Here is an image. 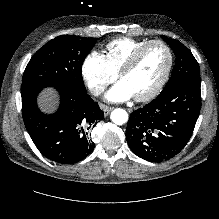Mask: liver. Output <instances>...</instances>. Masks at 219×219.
I'll return each instance as SVG.
<instances>
[{"mask_svg": "<svg viewBox=\"0 0 219 219\" xmlns=\"http://www.w3.org/2000/svg\"><path fill=\"white\" fill-rule=\"evenodd\" d=\"M41 108L45 111H50L55 105V97L51 91L44 92L40 97Z\"/></svg>", "mask_w": 219, "mask_h": 219, "instance_id": "1", "label": "liver"}]
</instances>
